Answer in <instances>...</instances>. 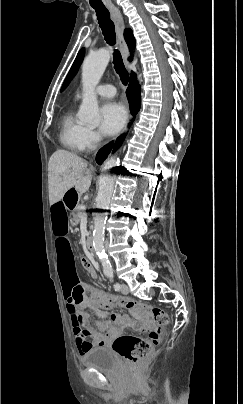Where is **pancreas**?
<instances>
[{"label": "pancreas", "instance_id": "obj_1", "mask_svg": "<svg viewBox=\"0 0 243 404\" xmlns=\"http://www.w3.org/2000/svg\"><path fill=\"white\" fill-rule=\"evenodd\" d=\"M82 206H77L75 210V214L73 216V219L75 220V224H79L82 216H86L85 210H81Z\"/></svg>", "mask_w": 243, "mask_h": 404}]
</instances>
